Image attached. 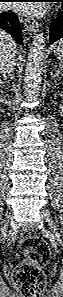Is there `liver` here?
Here are the masks:
<instances>
[{"label":"liver","instance_id":"liver-1","mask_svg":"<svg viewBox=\"0 0 63 297\" xmlns=\"http://www.w3.org/2000/svg\"><path fill=\"white\" fill-rule=\"evenodd\" d=\"M12 43H14L15 53H19L18 45L14 42L12 37L8 33L1 31L0 32V55L2 52L10 49Z\"/></svg>","mask_w":63,"mask_h":297}]
</instances>
